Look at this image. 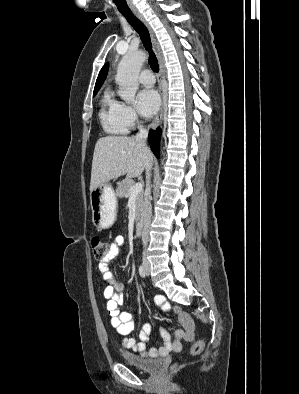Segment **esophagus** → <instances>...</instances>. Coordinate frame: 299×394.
<instances>
[{"instance_id":"1","label":"esophagus","mask_w":299,"mask_h":394,"mask_svg":"<svg viewBox=\"0 0 299 394\" xmlns=\"http://www.w3.org/2000/svg\"><path fill=\"white\" fill-rule=\"evenodd\" d=\"M134 15L147 27V29L150 33L153 47H154V51L156 53V56L158 58V63H159L160 70H159V74H158V86H159V93L161 96V105H160V109H159L158 113L156 114V116L151 124V128L156 129L162 122L164 109H165V95L163 92L164 59H163L161 48L155 38V34H154L150 24L145 20V18L139 12L135 11Z\"/></svg>"}]
</instances>
